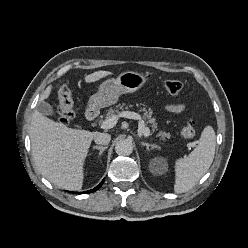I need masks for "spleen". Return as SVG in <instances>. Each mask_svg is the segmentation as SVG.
<instances>
[{"instance_id": "obj_1", "label": "spleen", "mask_w": 248, "mask_h": 248, "mask_svg": "<svg viewBox=\"0 0 248 248\" xmlns=\"http://www.w3.org/2000/svg\"><path fill=\"white\" fill-rule=\"evenodd\" d=\"M215 146V132L211 126H206L196 148L175 162V193L187 192L198 183L213 162Z\"/></svg>"}]
</instances>
